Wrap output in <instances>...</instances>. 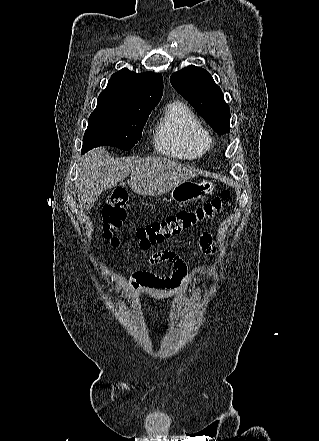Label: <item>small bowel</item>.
Instances as JSON below:
<instances>
[{
	"instance_id": "1",
	"label": "small bowel",
	"mask_w": 319,
	"mask_h": 441,
	"mask_svg": "<svg viewBox=\"0 0 319 441\" xmlns=\"http://www.w3.org/2000/svg\"><path fill=\"white\" fill-rule=\"evenodd\" d=\"M200 243L204 252L214 251L209 235H203ZM162 261L173 264L171 275L159 276L152 271H136L122 291V295L130 292L135 304L139 305L143 295L154 298H173L185 294L188 291V270L184 259L172 250L157 251L148 258L149 265H156Z\"/></svg>"
}]
</instances>
